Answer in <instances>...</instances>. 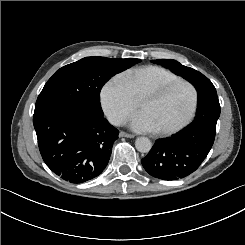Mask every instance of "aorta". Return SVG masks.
I'll return each mask as SVG.
<instances>
[{"mask_svg":"<svg viewBox=\"0 0 245 245\" xmlns=\"http://www.w3.org/2000/svg\"><path fill=\"white\" fill-rule=\"evenodd\" d=\"M135 147L141 153H148L152 148V143L147 137H138L135 141Z\"/></svg>","mask_w":245,"mask_h":245,"instance_id":"762f6f07","label":"aorta"}]
</instances>
